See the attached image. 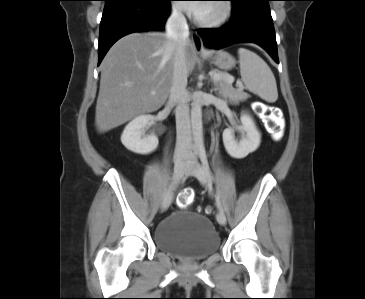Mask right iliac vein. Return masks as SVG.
<instances>
[{"mask_svg":"<svg viewBox=\"0 0 365 299\" xmlns=\"http://www.w3.org/2000/svg\"><path fill=\"white\" fill-rule=\"evenodd\" d=\"M186 171V165L184 164L183 160L180 159L178 161L175 162L174 164V172H173V177H172V190L178 185L181 177L183 176V174ZM172 190L168 193L167 196L164 197L162 205H161V210L165 211L169 208L171 202H172Z\"/></svg>","mask_w":365,"mask_h":299,"instance_id":"right-iliac-vein-1","label":"right iliac vein"}]
</instances>
